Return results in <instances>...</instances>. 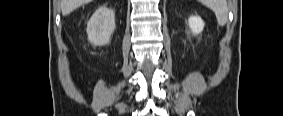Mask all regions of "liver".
Listing matches in <instances>:
<instances>
[{"label":"liver","mask_w":283,"mask_h":116,"mask_svg":"<svg viewBox=\"0 0 283 116\" xmlns=\"http://www.w3.org/2000/svg\"><path fill=\"white\" fill-rule=\"evenodd\" d=\"M89 2H91V0H61L62 15L66 16L81 5Z\"/></svg>","instance_id":"1"}]
</instances>
